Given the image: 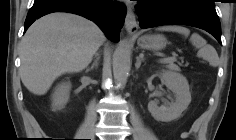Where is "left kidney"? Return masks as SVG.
<instances>
[{
  "mask_svg": "<svg viewBox=\"0 0 236 140\" xmlns=\"http://www.w3.org/2000/svg\"><path fill=\"white\" fill-rule=\"evenodd\" d=\"M161 77L167 86L175 94V102L168 106L159 107L156 102L148 103V110L159 121L169 122L177 119L191 102V94L187 79L180 73L163 71Z\"/></svg>",
  "mask_w": 236,
  "mask_h": 140,
  "instance_id": "obj_1",
  "label": "left kidney"
}]
</instances>
